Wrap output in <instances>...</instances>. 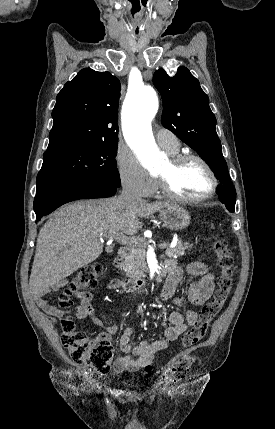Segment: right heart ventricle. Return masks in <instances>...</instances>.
Returning a JSON list of instances; mask_svg holds the SVG:
<instances>
[{
	"instance_id": "right-heart-ventricle-1",
	"label": "right heart ventricle",
	"mask_w": 275,
	"mask_h": 429,
	"mask_svg": "<svg viewBox=\"0 0 275 429\" xmlns=\"http://www.w3.org/2000/svg\"><path fill=\"white\" fill-rule=\"evenodd\" d=\"M170 153L174 155V154H176V153H177V151H176V152H170Z\"/></svg>"
}]
</instances>
